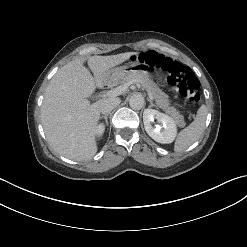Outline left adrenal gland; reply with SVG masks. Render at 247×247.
Here are the masks:
<instances>
[{
  "mask_svg": "<svg viewBox=\"0 0 247 247\" xmlns=\"http://www.w3.org/2000/svg\"><path fill=\"white\" fill-rule=\"evenodd\" d=\"M148 101L150 102V106L149 107H156L157 108V106L152 102V100L148 99Z\"/></svg>",
  "mask_w": 247,
  "mask_h": 247,
  "instance_id": "a2214340",
  "label": "left adrenal gland"
}]
</instances>
